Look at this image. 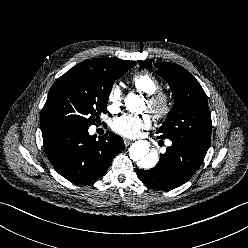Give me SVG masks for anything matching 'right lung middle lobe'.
<instances>
[{"label":"right lung middle lobe","mask_w":248,"mask_h":248,"mask_svg":"<svg viewBox=\"0 0 248 248\" xmlns=\"http://www.w3.org/2000/svg\"><path fill=\"white\" fill-rule=\"evenodd\" d=\"M135 65L131 61L115 72L70 69L51 87L41 113V129L87 127L106 110L114 81Z\"/></svg>","instance_id":"right-lung-middle-lobe-1"}]
</instances>
